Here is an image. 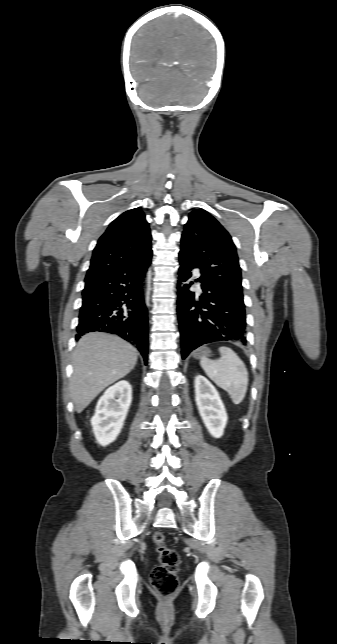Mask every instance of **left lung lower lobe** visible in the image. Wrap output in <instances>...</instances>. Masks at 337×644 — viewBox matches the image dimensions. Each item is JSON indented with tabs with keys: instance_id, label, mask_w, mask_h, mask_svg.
I'll use <instances>...</instances> for the list:
<instances>
[{
	"instance_id": "left-lung-lower-lobe-1",
	"label": "left lung lower lobe",
	"mask_w": 337,
	"mask_h": 644,
	"mask_svg": "<svg viewBox=\"0 0 337 644\" xmlns=\"http://www.w3.org/2000/svg\"><path fill=\"white\" fill-rule=\"evenodd\" d=\"M190 262L180 259L177 313L182 344V359L197 347L214 341H236L246 345L245 306L213 280L201 275L202 293L189 290Z\"/></svg>"
}]
</instances>
